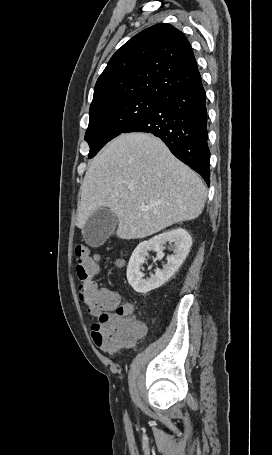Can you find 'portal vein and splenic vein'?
<instances>
[{"label":"portal vein and splenic vein","mask_w":272,"mask_h":455,"mask_svg":"<svg viewBox=\"0 0 272 455\" xmlns=\"http://www.w3.org/2000/svg\"><path fill=\"white\" fill-rule=\"evenodd\" d=\"M146 207L144 205H139V209H145Z\"/></svg>","instance_id":"portal-vein-and-splenic-vein-1"}]
</instances>
